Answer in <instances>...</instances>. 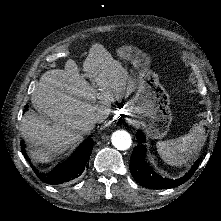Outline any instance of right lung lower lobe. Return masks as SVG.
<instances>
[{"label":"right lung lower lobe","mask_w":221,"mask_h":221,"mask_svg":"<svg viewBox=\"0 0 221 221\" xmlns=\"http://www.w3.org/2000/svg\"><path fill=\"white\" fill-rule=\"evenodd\" d=\"M28 107V106H26ZM27 109L24 110V112ZM93 149V140L87 139L77 150L63 163L57 165L49 173H40L30 163L36 175L44 182L52 185L62 184L78 178L88 168L89 158ZM21 151L29 161L25 151L24 142H21Z\"/></svg>","instance_id":"98d812e1"}]
</instances>
